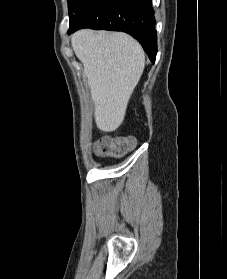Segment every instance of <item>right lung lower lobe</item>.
Masks as SVG:
<instances>
[{
    "mask_svg": "<svg viewBox=\"0 0 227 279\" xmlns=\"http://www.w3.org/2000/svg\"><path fill=\"white\" fill-rule=\"evenodd\" d=\"M81 28L126 32L140 42L155 62L157 34L152 0H88L68 34Z\"/></svg>",
    "mask_w": 227,
    "mask_h": 279,
    "instance_id": "1",
    "label": "right lung lower lobe"
}]
</instances>
